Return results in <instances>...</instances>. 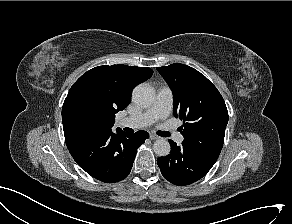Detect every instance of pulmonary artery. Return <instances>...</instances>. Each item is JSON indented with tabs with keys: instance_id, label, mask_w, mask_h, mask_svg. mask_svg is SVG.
Here are the masks:
<instances>
[{
	"instance_id": "pulmonary-artery-1",
	"label": "pulmonary artery",
	"mask_w": 292,
	"mask_h": 224,
	"mask_svg": "<svg viewBox=\"0 0 292 224\" xmlns=\"http://www.w3.org/2000/svg\"><path fill=\"white\" fill-rule=\"evenodd\" d=\"M173 93L170 88L165 87L158 90L155 101L143 113L125 117L120 120L122 127H130L134 129L150 126L160 119L166 118L172 109ZM177 141H182V137L178 135Z\"/></svg>"
}]
</instances>
